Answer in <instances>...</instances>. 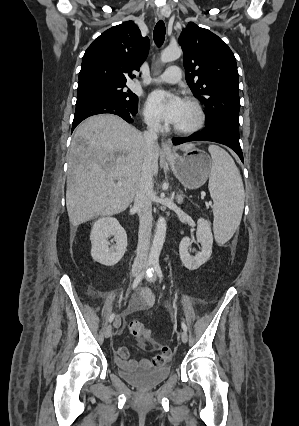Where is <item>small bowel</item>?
<instances>
[{"mask_svg": "<svg viewBox=\"0 0 299 426\" xmlns=\"http://www.w3.org/2000/svg\"><path fill=\"white\" fill-rule=\"evenodd\" d=\"M154 303V297L152 293L146 289L141 288L137 294L132 298L128 309L121 315H119L115 321L116 327H120L123 318L132 312L142 311L150 308ZM139 347L145 349L144 342L138 343ZM171 357V352L161 350V353L150 359L135 360L129 358V351L124 346H118L116 348V363L124 370H135L138 368H154L165 364Z\"/></svg>", "mask_w": 299, "mask_h": 426, "instance_id": "c3829d8e", "label": "small bowel"}]
</instances>
